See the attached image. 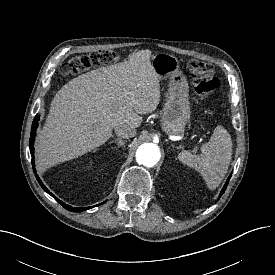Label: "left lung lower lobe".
I'll use <instances>...</instances> for the list:
<instances>
[{
  "mask_svg": "<svg viewBox=\"0 0 275 275\" xmlns=\"http://www.w3.org/2000/svg\"><path fill=\"white\" fill-rule=\"evenodd\" d=\"M230 177H231V175L229 176L228 180L226 181V183H225V185H224V187H223V189H222V191H221V193H220V195H219V198H220L221 195L224 193V191H225V189H226V187H227V184H228V182H229Z\"/></svg>",
  "mask_w": 275,
  "mask_h": 275,
  "instance_id": "0a47b994",
  "label": "left lung lower lobe"
}]
</instances>
